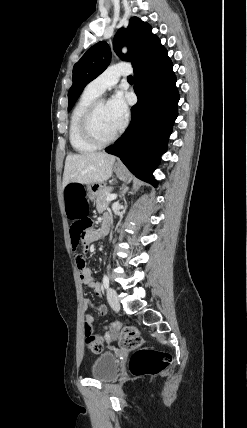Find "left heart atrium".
Masks as SVG:
<instances>
[{
  "label": "left heart atrium",
  "mask_w": 247,
  "mask_h": 428,
  "mask_svg": "<svg viewBox=\"0 0 247 428\" xmlns=\"http://www.w3.org/2000/svg\"><path fill=\"white\" fill-rule=\"evenodd\" d=\"M106 106L113 123L118 129L121 128L128 117V108L122 93H116Z\"/></svg>",
  "instance_id": "39dd6f15"
}]
</instances>
